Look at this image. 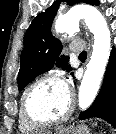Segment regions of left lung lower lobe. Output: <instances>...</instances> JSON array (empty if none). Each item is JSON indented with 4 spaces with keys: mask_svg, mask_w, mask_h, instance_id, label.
I'll list each match as a JSON object with an SVG mask.
<instances>
[{
    "mask_svg": "<svg viewBox=\"0 0 116 134\" xmlns=\"http://www.w3.org/2000/svg\"><path fill=\"white\" fill-rule=\"evenodd\" d=\"M102 118L116 127V49L113 48L103 84L93 104L79 114L80 120Z\"/></svg>",
    "mask_w": 116,
    "mask_h": 134,
    "instance_id": "left-lung-lower-lobe-1",
    "label": "left lung lower lobe"
}]
</instances>
